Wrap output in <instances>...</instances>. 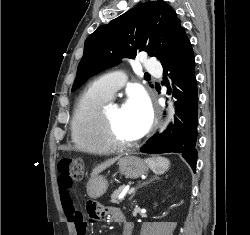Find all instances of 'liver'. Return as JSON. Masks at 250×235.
Here are the masks:
<instances>
[{"instance_id":"6515ba94","label":"liver","mask_w":250,"mask_h":235,"mask_svg":"<svg viewBox=\"0 0 250 235\" xmlns=\"http://www.w3.org/2000/svg\"><path fill=\"white\" fill-rule=\"evenodd\" d=\"M120 159V156L107 160L106 162L98 165L97 167H95L91 173V177H95L97 176L99 173H101L102 171H104L106 168L110 167L111 165H113L117 160Z\"/></svg>"}]
</instances>
